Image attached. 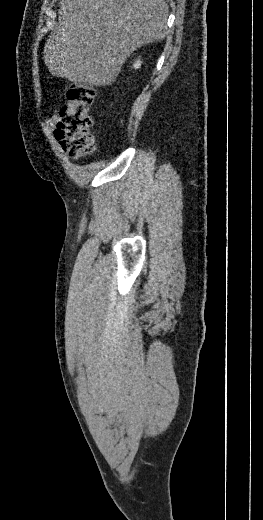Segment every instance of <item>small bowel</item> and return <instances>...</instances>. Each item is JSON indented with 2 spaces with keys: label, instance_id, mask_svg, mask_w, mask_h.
I'll list each match as a JSON object with an SVG mask.
<instances>
[{
  "label": "small bowel",
  "instance_id": "1",
  "mask_svg": "<svg viewBox=\"0 0 263 520\" xmlns=\"http://www.w3.org/2000/svg\"><path fill=\"white\" fill-rule=\"evenodd\" d=\"M57 121H59L58 116H54V117H52L51 119H49V120L47 121V126H48V128L52 129V128L55 126V124H56Z\"/></svg>",
  "mask_w": 263,
  "mask_h": 520
}]
</instances>
